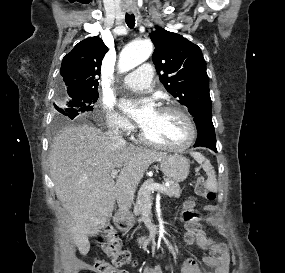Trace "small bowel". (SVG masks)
I'll return each instance as SVG.
<instances>
[{
    "label": "small bowel",
    "mask_w": 285,
    "mask_h": 273,
    "mask_svg": "<svg viewBox=\"0 0 285 273\" xmlns=\"http://www.w3.org/2000/svg\"><path fill=\"white\" fill-rule=\"evenodd\" d=\"M187 199L194 201L196 205V199L194 197H188L185 201ZM208 209H212V207L209 206ZM195 242L199 248L209 251V255L204 258V263L212 267L214 269V273H228L230 255L226 244L215 241L211 237L207 236L205 231L198 232ZM143 273H163V270L159 264L148 265L144 268ZM181 273L205 272L201 269L199 263L195 259L187 258L182 264Z\"/></svg>",
    "instance_id": "small-bowel-1"
}]
</instances>
